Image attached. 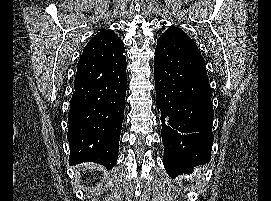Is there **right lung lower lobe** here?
<instances>
[{
    "instance_id": "1",
    "label": "right lung lower lobe",
    "mask_w": 271,
    "mask_h": 201,
    "mask_svg": "<svg viewBox=\"0 0 271 201\" xmlns=\"http://www.w3.org/2000/svg\"><path fill=\"white\" fill-rule=\"evenodd\" d=\"M120 38L97 33L77 65L68 113L69 163L111 169L118 158L126 94V57Z\"/></svg>"
}]
</instances>
